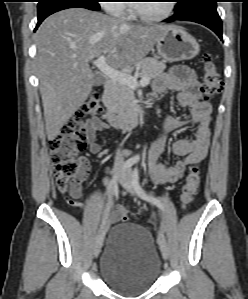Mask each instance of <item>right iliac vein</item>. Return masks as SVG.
Instances as JSON below:
<instances>
[{
  "label": "right iliac vein",
  "mask_w": 248,
  "mask_h": 299,
  "mask_svg": "<svg viewBox=\"0 0 248 299\" xmlns=\"http://www.w3.org/2000/svg\"><path fill=\"white\" fill-rule=\"evenodd\" d=\"M118 170H119V167H115L113 170V174L117 173ZM112 200H113V192L111 191L108 196V201H107V205H106L105 213H104V219H103L102 225L100 227L99 233L96 237L95 243H94V256L95 257H97L99 255L101 248L103 246L105 233L108 229V218H109V212L111 210Z\"/></svg>",
  "instance_id": "right-iliac-vein-1"
}]
</instances>
